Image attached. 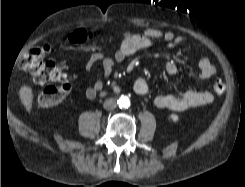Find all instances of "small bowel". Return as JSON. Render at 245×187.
<instances>
[{"mask_svg": "<svg viewBox=\"0 0 245 187\" xmlns=\"http://www.w3.org/2000/svg\"><path fill=\"white\" fill-rule=\"evenodd\" d=\"M85 34L87 40H92L96 37V34L93 31H85ZM121 39V45L111 57L106 56L103 51H97L89 55L85 72L88 73L97 62H101L104 78H108L117 64L123 62L133 54L151 47L157 40H163L169 48L185 43H192L194 48L198 50V46L193 43L188 36L178 35L172 31L164 32L156 28L146 29L143 33L124 32L121 34ZM199 68L200 72L197 76L198 80L208 79L214 75L216 71L214 64L207 56L200 58ZM165 70L169 75H176L178 67L173 62H167L165 64ZM102 86V79L91 84L85 92L86 98H95L102 89ZM133 87L134 91L140 96H144L148 93V83L143 78L136 79ZM211 102L212 96L210 93L198 91L194 88H188L181 95H159L156 96L153 101L154 106L158 109H166L176 112L205 106Z\"/></svg>", "mask_w": 245, "mask_h": 187, "instance_id": "obj_1", "label": "small bowel"}]
</instances>
